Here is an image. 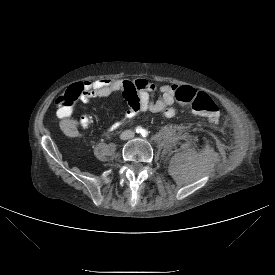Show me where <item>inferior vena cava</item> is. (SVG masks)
Returning a JSON list of instances; mask_svg holds the SVG:
<instances>
[{
  "label": "inferior vena cava",
  "mask_w": 275,
  "mask_h": 275,
  "mask_svg": "<svg viewBox=\"0 0 275 275\" xmlns=\"http://www.w3.org/2000/svg\"><path fill=\"white\" fill-rule=\"evenodd\" d=\"M133 137H134V132L131 131V130H125L121 134V138L124 139V140L131 139Z\"/></svg>",
  "instance_id": "obj_1"
}]
</instances>
